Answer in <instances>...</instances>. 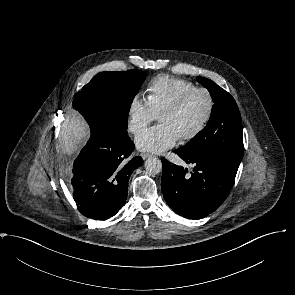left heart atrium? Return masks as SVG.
Returning a JSON list of instances; mask_svg holds the SVG:
<instances>
[{"label":"left heart atrium","mask_w":295,"mask_h":295,"mask_svg":"<svg viewBox=\"0 0 295 295\" xmlns=\"http://www.w3.org/2000/svg\"><path fill=\"white\" fill-rule=\"evenodd\" d=\"M179 139V135L170 126L160 124L152 127L136 138L137 148L151 153H162L172 148Z\"/></svg>","instance_id":"1"}]
</instances>
